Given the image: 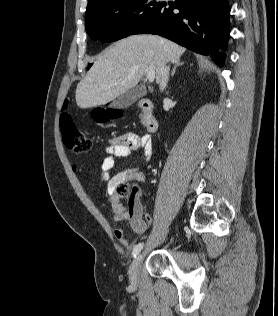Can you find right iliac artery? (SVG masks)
<instances>
[{
	"label": "right iliac artery",
	"mask_w": 278,
	"mask_h": 316,
	"mask_svg": "<svg viewBox=\"0 0 278 316\" xmlns=\"http://www.w3.org/2000/svg\"><path fill=\"white\" fill-rule=\"evenodd\" d=\"M142 248H143V243L137 244V245L133 248L132 256H133V257H136V255L141 251Z\"/></svg>",
	"instance_id": "obj_1"
}]
</instances>
